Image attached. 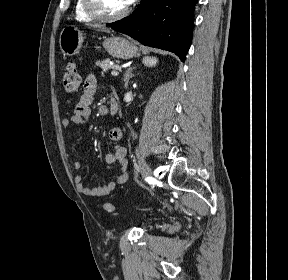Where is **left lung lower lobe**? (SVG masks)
I'll list each match as a JSON object with an SVG mask.
<instances>
[{"label":"left lung lower lobe","instance_id":"0a47b994","mask_svg":"<svg viewBox=\"0 0 288 280\" xmlns=\"http://www.w3.org/2000/svg\"><path fill=\"white\" fill-rule=\"evenodd\" d=\"M198 0H142L128 17L107 24L144 45L175 53L182 61L190 47Z\"/></svg>","mask_w":288,"mask_h":280}]
</instances>
